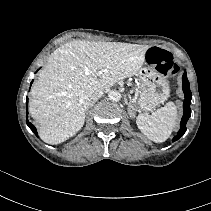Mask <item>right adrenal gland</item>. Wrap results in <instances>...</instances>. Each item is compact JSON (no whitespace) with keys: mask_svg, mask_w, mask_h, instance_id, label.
<instances>
[{"mask_svg":"<svg viewBox=\"0 0 211 211\" xmlns=\"http://www.w3.org/2000/svg\"><path fill=\"white\" fill-rule=\"evenodd\" d=\"M96 103V100L92 101L89 105V108L92 107Z\"/></svg>","mask_w":211,"mask_h":211,"instance_id":"1","label":"right adrenal gland"}]
</instances>
